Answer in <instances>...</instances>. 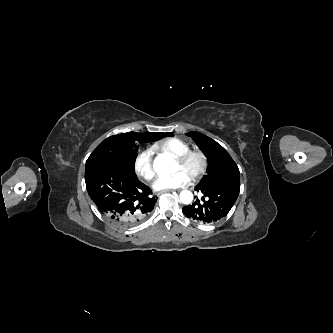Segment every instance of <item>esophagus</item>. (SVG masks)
<instances>
[{"label":"esophagus","instance_id":"1","mask_svg":"<svg viewBox=\"0 0 333 333\" xmlns=\"http://www.w3.org/2000/svg\"><path fill=\"white\" fill-rule=\"evenodd\" d=\"M172 191L173 190H163V191L159 192L158 195H161V194L166 193V192H172Z\"/></svg>","mask_w":333,"mask_h":333}]
</instances>
